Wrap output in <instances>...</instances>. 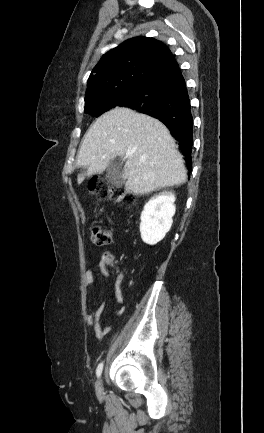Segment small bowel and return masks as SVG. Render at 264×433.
I'll return each mask as SVG.
<instances>
[{"mask_svg":"<svg viewBox=\"0 0 264 433\" xmlns=\"http://www.w3.org/2000/svg\"><path fill=\"white\" fill-rule=\"evenodd\" d=\"M99 266L101 268H104V262L102 260L99 261ZM85 283L86 285H92L94 283V275L91 271H86L85 276ZM122 275H119L115 281V299L116 302L119 305V308L117 309V314L122 315L124 313V308L122 307V304L124 302V296L121 289L122 284ZM104 311V303H101L97 309L87 315V323L94 327V333L97 339H102L105 337L111 330L110 326L108 325H102L101 323V316Z\"/></svg>","mask_w":264,"mask_h":433,"instance_id":"1","label":"small bowel"}]
</instances>
